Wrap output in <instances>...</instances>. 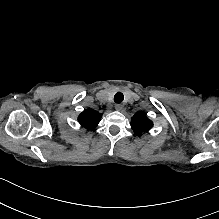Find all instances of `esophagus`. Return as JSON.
Listing matches in <instances>:
<instances>
[{
  "label": "esophagus",
  "mask_w": 219,
  "mask_h": 219,
  "mask_svg": "<svg viewBox=\"0 0 219 219\" xmlns=\"http://www.w3.org/2000/svg\"><path fill=\"white\" fill-rule=\"evenodd\" d=\"M122 108H123V105H121V104H116V105H115V109H116L117 111L122 110Z\"/></svg>",
  "instance_id": "esophagus-1"
}]
</instances>
